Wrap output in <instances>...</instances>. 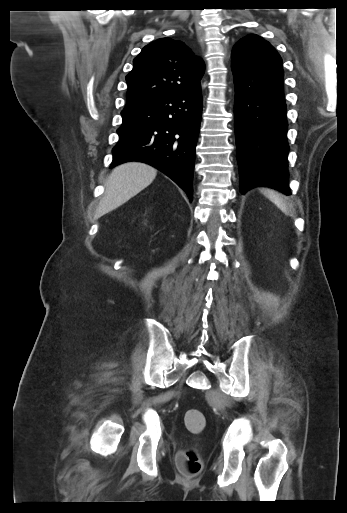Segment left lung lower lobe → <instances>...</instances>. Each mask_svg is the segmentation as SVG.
<instances>
[{
	"label": "left lung lower lobe",
	"instance_id": "left-lung-lower-lobe-1",
	"mask_svg": "<svg viewBox=\"0 0 347 513\" xmlns=\"http://www.w3.org/2000/svg\"><path fill=\"white\" fill-rule=\"evenodd\" d=\"M241 193L268 186L290 195L283 73L233 64Z\"/></svg>",
	"mask_w": 347,
	"mask_h": 513
}]
</instances>
